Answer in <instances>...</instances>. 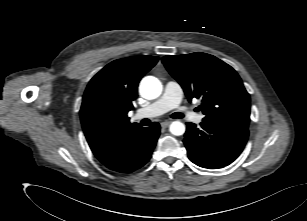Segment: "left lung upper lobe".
Listing matches in <instances>:
<instances>
[{
	"instance_id": "obj_1",
	"label": "left lung upper lobe",
	"mask_w": 307,
	"mask_h": 221,
	"mask_svg": "<svg viewBox=\"0 0 307 221\" xmlns=\"http://www.w3.org/2000/svg\"><path fill=\"white\" fill-rule=\"evenodd\" d=\"M162 62L180 83L189 101L201 100L203 122L248 129L250 96L231 66L206 53L168 55Z\"/></svg>"
}]
</instances>
